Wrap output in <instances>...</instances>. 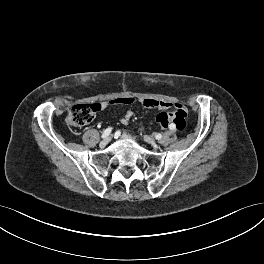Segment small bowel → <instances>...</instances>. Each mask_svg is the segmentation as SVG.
Returning a JSON list of instances; mask_svg holds the SVG:
<instances>
[{"label": "small bowel", "mask_w": 264, "mask_h": 264, "mask_svg": "<svg viewBox=\"0 0 264 264\" xmlns=\"http://www.w3.org/2000/svg\"><path fill=\"white\" fill-rule=\"evenodd\" d=\"M135 100L130 98V103H133ZM138 101L142 106L146 107V108H155V109H159V110H166L169 109L173 106L172 103L170 102H166V101H159V100H155V99H138L136 100ZM102 108H105L108 103L107 102H102L100 103ZM178 104L175 105V107H177ZM133 116V112L131 110H128L124 116L121 118L120 122L123 125H127L130 121V119Z\"/></svg>", "instance_id": "small-bowel-1"}]
</instances>
